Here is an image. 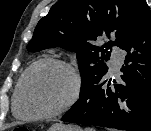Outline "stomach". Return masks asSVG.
<instances>
[{"label":"stomach","mask_w":151,"mask_h":131,"mask_svg":"<svg viewBox=\"0 0 151 131\" xmlns=\"http://www.w3.org/2000/svg\"><path fill=\"white\" fill-rule=\"evenodd\" d=\"M49 131H82V130L78 126L56 123L50 127Z\"/></svg>","instance_id":"stomach-1"}]
</instances>
